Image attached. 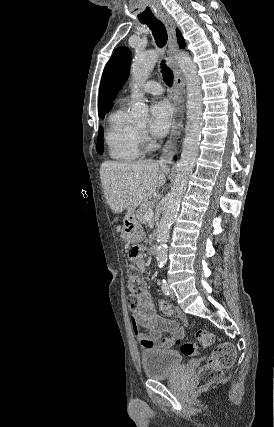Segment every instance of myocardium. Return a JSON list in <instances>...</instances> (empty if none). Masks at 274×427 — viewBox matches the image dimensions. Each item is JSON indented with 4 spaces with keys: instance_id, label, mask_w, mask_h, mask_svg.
<instances>
[{
    "instance_id": "obj_1",
    "label": "myocardium",
    "mask_w": 274,
    "mask_h": 427,
    "mask_svg": "<svg viewBox=\"0 0 274 427\" xmlns=\"http://www.w3.org/2000/svg\"><path fill=\"white\" fill-rule=\"evenodd\" d=\"M137 138L141 150L149 151L153 149L154 145L148 137L146 131L141 129L140 127H137Z\"/></svg>"
}]
</instances>
